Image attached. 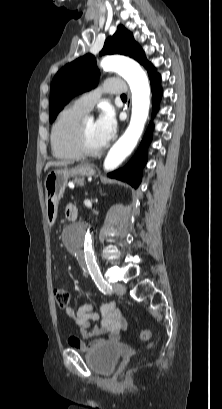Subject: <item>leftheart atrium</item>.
<instances>
[{
	"instance_id": "1",
	"label": "left heart atrium",
	"mask_w": 222,
	"mask_h": 409,
	"mask_svg": "<svg viewBox=\"0 0 222 409\" xmlns=\"http://www.w3.org/2000/svg\"><path fill=\"white\" fill-rule=\"evenodd\" d=\"M96 131L101 147L105 146L114 136L116 119L110 108H104L95 122Z\"/></svg>"
}]
</instances>
